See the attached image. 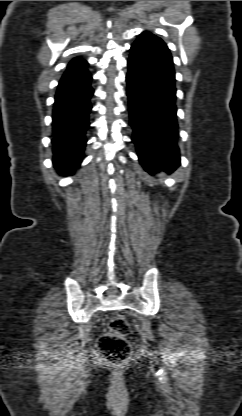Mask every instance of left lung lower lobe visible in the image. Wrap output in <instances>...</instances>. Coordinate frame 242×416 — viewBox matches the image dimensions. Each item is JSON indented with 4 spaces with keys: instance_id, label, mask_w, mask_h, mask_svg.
Listing matches in <instances>:
<instances>
[{
    "instance_id": "0a47b994",
    "label": "left lung lower lobe",
    "mask_w": 242,
    "mask_h": 416,
    "mask_svg": "<svg viewBox=\"0 0 242 416\" xmlns=\"http://www.w3.org/2000/svg\"><path fill=\"white\" fill-rule=\"evenodd\" d=\"M127 95L132 141L140 164L153 174L180 164L175 72L166 44L143 32L128 59Z\"/></svg>"
}]
</instances>
